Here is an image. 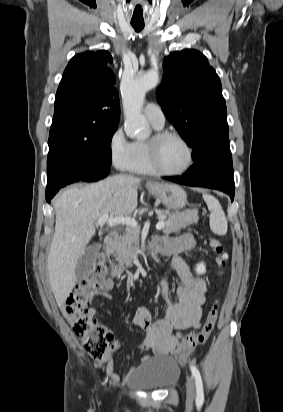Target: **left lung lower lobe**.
<instances>
[{
    "label": "left lung lower lobe",
    "instance_id": "left-lung-lower-lobe-1",
    "mask_svg": "<svg viewBox=\"0 0 283 412\" xmlns=\"http://www.w3.org/2000/svg\"><path fill=\"white\" fill-rule=\"evenodd\" d=\"M182 177H163L166 180L188 186L217 189L227 193L233 201L235 186L232 162L221 153L216 155L201 154L195 159Z\"/></svg>",
    "mask_w": 283,
    "mask_h": 412
}]
</instances>
